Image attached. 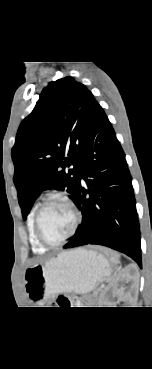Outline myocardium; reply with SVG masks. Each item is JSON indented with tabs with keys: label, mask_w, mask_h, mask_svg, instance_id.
<instances>
[{
	"label": "myocardium",
	"mask_w": 152,
	"mask_h": 369,
	"mask_svg": "<svg viewBox=\"0 0 152 369\" xmlns=\"http://www.w3.org/2000/svg\"><path fill=\"white\" fill-rule=\"evenodd\" d=\"M57 200V201H61L64 202L72 211L73 214V226L70 230V232L63 237L62 239H60L59 241L56 242H49L47 241L41 231V226H40V219H41V215L42 212L44 210V208L52 201ZM82 220V216L81 213L78 209V207L76 206V204L74 203V201L66 194L63 193H52L50 195H48L42 202L41 204L38 206L36 213H35V217H34V230H35V235L36 238L38 240V242L44 246L45 248H54V247H58L60 245H62L63 243H65L67 240H69L71 237H73L75 235V233L77 232L80 223Z\"/></svg>",
	"instance_id": "obj_1"
}]
</instances>
